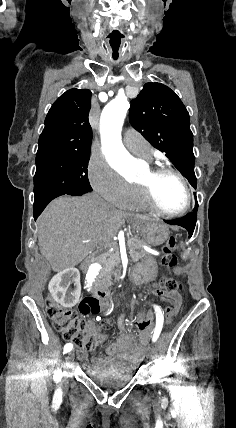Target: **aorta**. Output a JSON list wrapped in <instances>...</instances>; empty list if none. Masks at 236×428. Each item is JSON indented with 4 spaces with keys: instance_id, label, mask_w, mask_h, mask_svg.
I'll return each instance as SVG.
<instances>
[{
    "instance_id": "aorta-1",
    "label": "aorta",
    "mask_w": 236,
    "mask_h": 428,
    "mask_svg": "<svg viewBox=\"0 0 236 428\" xmlns=\"http://www.w3.org/2000/svg\"><path fill=\"white\" fill-rule=\"evenodd\" d=\"M130 107L127 97H115L103 109L100 118L102 151L110 165L121 170L127 178L136 176L135 161L122 143L121 130L126 113ZM101 270L99 263L89 266L86 274V287L90 289Z\"/></svg>"
}]
</instances>
